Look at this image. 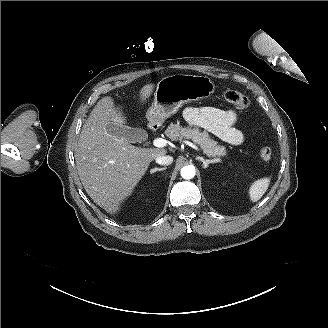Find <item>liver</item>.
Listing matches in <instances>:
<instances>
[{"label": "liver", "instance_id": "obj_1", "mask_svg": "<svg viewBox=\"0 0 328 328\" xmlns=\"http://www.w3.org/2000/svg\"><path fill=\"white\" fill-rule=\"evenodd\" d=\"M154 85L140 90L144 102L152 94ZM108 122L125 123V117L114 106L109 96L102 98L82 127L75 150L76 167L80 180L91 199L107 213H116L120 202L131 195L149 164L165 149L140 148L124 138L108 135Z\"/></svg>", "mask_w": 328, "mask_h": 328}]
</instances>
